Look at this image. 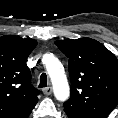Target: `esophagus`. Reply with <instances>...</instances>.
Wrapping results in <instances>:
<instances>
[{
	"instance_id": "34e87169",
	"label": "esophagus",
	"mask_w": 118,
	"mask_h": 118,
	"mask_svg": "<svg viewBox=\"0 0 118 118\" xmlns=\"http://www.w3.org/2000/svg\"><path fill=\"white\" fill-rule=\"evenodd\" d=\"M42 91L45 95H50L52 93V87H50V86L46 87Z\"/></svg>"
}]
</instances>
